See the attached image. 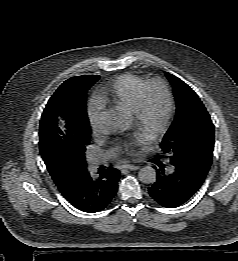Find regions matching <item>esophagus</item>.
Here are the masks:
<instances>
[{
    "label": "esophagus",
    "mask_w": 238,
    "mask_h": 261,
    "mask_svg": "<svg viewBox=\"0 0 238 261\" xmlns=\"http://www.w3.org/2000/svg\"><path fill=\"white\" fill-rule=\"evenodd\" d=\"M122 168L123 169H128V170H137V169H139L138 166L131 165V164H124V165H122Z\"/></svg>",
    "instance_id": "1"
}]
</instances>
